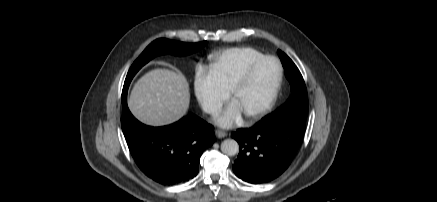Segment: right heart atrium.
Masks as SVG:
<instances>
[{"label":"right heart atrium","mask_w":437,"mask_h":202,"mask_svg":"<svg viewBox=\"0 0 437 202\" xmlns=\"http://www.w3.org/2000/svg\"><path fill=\"white\" fill-rule=\"evenodd\" d=\"M193 91L199 105L209 115L216 114L229 98V91L221 84L211 68L203 65L195 69Z\"/></svg>","instance_id":"right-heart-atrium-1"}]
</instances>
